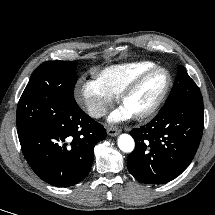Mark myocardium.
I'll use <instances>...</instances> for the list:
<instances>
[{"instance_id":"f54148a6","label":"myocardium","mask_w":215,"mask_h":215,"mask_svg":"<svg viewBox=\"0 0 215 215\" xmlns=\"http://www.w3.org/2000/svg\"><path fill=\"white\" fill-rule=\"evenodd\" d=\"M156 72H163L165 74V84L154 102L146 110L131 115L132 118L136 121L149 120L161 108L172 87L173 79L171 72L163 66L154 65L136 76L134 79H132L119 94V101L123 106L128 97L132 95L147 78H149L152 74Z\"/></svg>"}]
</instances>
